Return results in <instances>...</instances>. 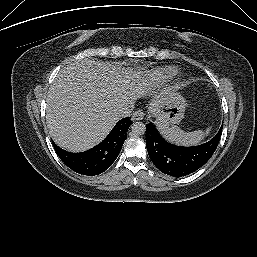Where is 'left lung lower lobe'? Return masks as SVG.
<instances>
[{
	"label": "left lung lower lobe",
	"instance_id": "left-lung-lower-lobe-1",
	"mask_svg": "<svg viewBox=\"0 0 257 257\" xmlns=\"http://www.w3.org/2000/svg\"><path fill=\"white\" fill-rule=\"evenodd\" d=\"M223 124L208 142L197 146H177L167 142L152 122L146 125V147L153 164L164 174L182 177L202 167L215 152Z\"/></svg>",
	"mask_w": 257,
	"mask_h": 257
}]
</instances>
